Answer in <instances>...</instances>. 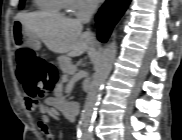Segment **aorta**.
Wrapping results in <instances>:
<instances>
[{
  "label": "aorta",
  "mask_w": 182,
  "mask_h": 140,
  "mask_svg": "<svg viewBox=\"0 0 182 140\" xmlns=\"http://www.w3.org/2000/svg\"><path fill=\"white\" fill-rule=\"evenodd\" d=\"M116 53L117 45L112 42L106 46L99 58L78 124V131L82 140H90L92 138V121L95 109L100 99L104 82L111 72Z\"/></svg>",
  "instance_id": "obj_1"
}]
</instances>
